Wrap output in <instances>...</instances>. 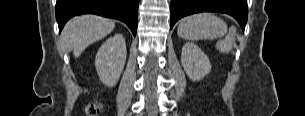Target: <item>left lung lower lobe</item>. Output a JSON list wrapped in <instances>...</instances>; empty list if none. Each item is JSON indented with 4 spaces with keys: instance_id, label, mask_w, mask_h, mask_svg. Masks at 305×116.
<instances>
[{
    "instance_id": "1",
    "label": "left lung lower lobe",
    "mask_w": 305,
    "mask_h": 116,
    "mask_svg": "<svg viewBox=\"0 0 305 116\" xmlns=\"http://www.w3.org/2000/svg\"><path fill=\"white\" fill-rule=\"evenodd\" d=\"M198 12H221L233 16L245 29L248 17L247 0H171L172 28L180 18Z\"/></svg>"
}]
</instances>
